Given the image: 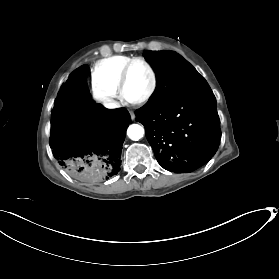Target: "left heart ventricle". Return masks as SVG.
Masks as SVG:
<instances>
[{"label": "left heart ventricle", "instance_id": "1", "mask_svg": "<svg viewBox=\"0 0 279 279\" xmlns=\"http://www.w3.org/2000/svg\"><path fill=\"white\" fill-rule=\"evenodd\" d=\"M151 86V76L147 68L141 63H135L128 74L126 95L129 99L144 96Z\"/></svg>", "mask_w": 279, "mask_h": 279}]
</instances>
